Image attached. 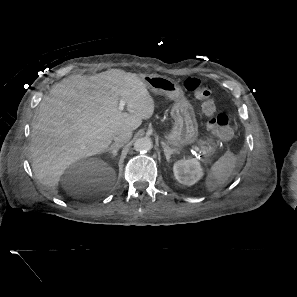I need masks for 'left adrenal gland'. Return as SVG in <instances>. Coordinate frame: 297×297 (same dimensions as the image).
I'll return each instance as SVG.
<instances>
[{"instance_id":"a2214340","label":"left adrenal gland","mask_w":297,"mask_h":297,"mask_svg":"<svg viewBox=\"0 0 297 297\" xmlns=\"http://www.w3.org/2000/svg\"><path fill=\"white\" fill-rule=\"evenodd\" d=\"M161 144H162V147L164 149V154H165L166 160H167V162H169L170 158H171V155L176 153L177 150L169 148L168 145H166L164 142H162Z\"/></svg>"}]
</instances>
